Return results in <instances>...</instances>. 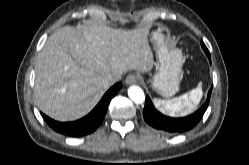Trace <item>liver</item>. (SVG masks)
Here are the masks:
<instances>
[{"label":"liver","instance_id":"6515ba94","mask_svg":"<svg viewBox=\"0 0 249 165\" xmlns=\"http://www.w3.org/2000/svg\"><path fill=\"white\" fill-rule=\"evenodd\" d=\"M148 35V27L121 30L96 22L58 29L48 37L35 66L38 108L62 122L85 116L108 89L106 76L152 70Z\"/></svg>","mask_w":249,"mask_h":165}]
</instances>
